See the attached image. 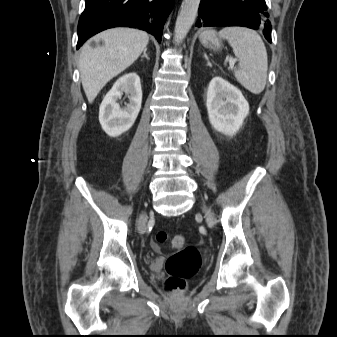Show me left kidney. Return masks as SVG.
<instances>
[{
	"instance_id": "left-kidney-1",
	"label": "left kidney",
	"mask_w": 337,
	"mask_h": 337,
	"mask_svg": "<svg viewBox=\"0 0 337 337\" xmlns=\"http://www.w3.org/2000/svg\"><path fill=\"white\" fill-rule=\"evenodd\" d=\"M206 106L212 127L229 136L239 131L249 114V104L241 91L219 76L209 83Z\"/></svg>"
}]
</instances>
